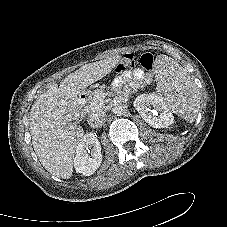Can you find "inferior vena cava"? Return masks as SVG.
I'll list each match as a JSON object with an SVG mask.
<instances>
[{
	"instance_id": "obj_1",
	"label": "inferior vena cava",
	"mask_w": 227,
	"mask_h": 227,
	"mask_svg": "<svg viewBox=\"0 0 227 227\" xmlns=\"http://www.w3.org/2000/svg\"><path fill=\"white\" fill-rule=\"evenodd\" d=\"M106 114L104 111H96L89 116L88 124L92 128H100L105 122Z\"/></svg>"
}]
</instances>
